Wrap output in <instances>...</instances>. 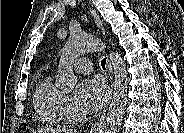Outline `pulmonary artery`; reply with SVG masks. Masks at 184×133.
I'll return each instance as SVG.
<instances>
[{"instance_id":"obj_1","label":"pulmonary artery","mask_w":184,"mask_h":133,"mask_svg":"<svg viewBox=\"0 0 184 133\" xmlns=\"http://www.w3.org/2000/svg\"><path fill=\"white\" fill-rule=\"evenodd\" d=\"M73 66L76 72L82 74L90 73L93 70L92 63L86 58L77 60Z\"/></svg>"}]
</instances>
